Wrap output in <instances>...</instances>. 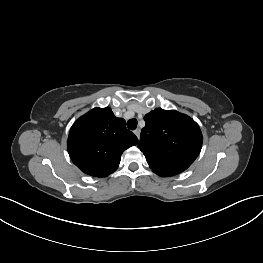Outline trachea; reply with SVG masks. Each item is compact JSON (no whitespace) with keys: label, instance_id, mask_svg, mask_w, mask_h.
<instances>
[{"label":"trachea","instance_id":"obj_1","mask_svg":"<svg viewBox=\"0 0 263 263\" xmlns=\"http://www.w3.org/2000/svg\"><path fill=\"white\" fill-rule=\"evenodd\" d=\"M127 127H128L130 130H135L136 127H137V120H136V119H130V120L127 122Z\"/></svg>","mask_w":263,"mask_h":263}]
</instances>
